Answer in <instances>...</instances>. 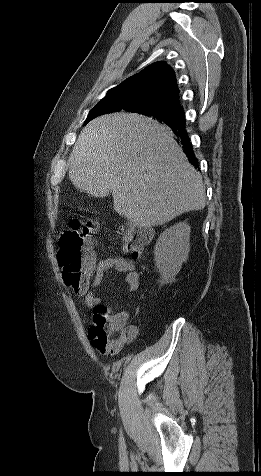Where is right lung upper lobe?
I'll return each instance as SVG.
<instances>
[{
  "label": "right lung upper lobe",
  "mask_w": 261,
  "mask_h": 476,
  "mask_svg": "<svg viewBox=\"0 0 261 476\" xmlns=\"http://www.w3.org/2000/svg\"><path fill=\"white\" fill-rule=\"evenodd\" d=\"M115 94L121 96L122 104L156 101L183 111L174 71L163 61L129 77L109 90L107 96Z\"/></svg>",
  "instance_id": "1"
}]
</instances>
